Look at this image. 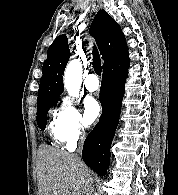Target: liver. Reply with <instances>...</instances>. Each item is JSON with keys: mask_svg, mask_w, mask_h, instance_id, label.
I'll use <instances>...</instances> for the list:
<instances>
[{"mask_svg": "<svg viewBox=\"0 0 178 195\" xmlns=\"http://www.w3.org/2000/svg\"><path fill=\"white\" fill-rule=\"evenodd\" d=\"M37 158L39 195H89L91 171L73 154L42 145Z\"/></svg>", "mask_w": 178, "mask_h": 195, "instance_id": "6515ba94", "label": "liver"}]
</instances>
